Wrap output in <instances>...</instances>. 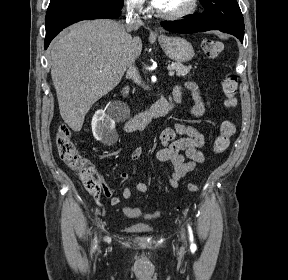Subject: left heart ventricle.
Instances as JSON below:
<instances>
[{
	"label": "left heart ventricle",
	"instance_id": "1",
	"mask_svg": "<svg viewBox=\"0 0 288 280\" xmlns=\"http://www.w3.org/2000/svg\"><path fill=\"white\" fill-rule=\"evenodd\" d=\"M190 0H163L159 9L165 13H176L188 7Z\"/></svg>",
	"mask_w": 288,
	"mask_h": 280
}]
</instances>
